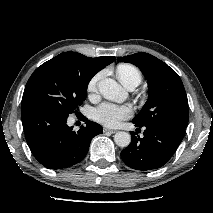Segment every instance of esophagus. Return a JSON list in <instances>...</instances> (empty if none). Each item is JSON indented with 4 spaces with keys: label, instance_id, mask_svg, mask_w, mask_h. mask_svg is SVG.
Masks as SVG:
<instances>
[{
    "label": "esophagus",
    "instance_id": "34e87169",
    "mask_svg": "<svg viewBox=\"0 0 213 213\" xmlns=\"http://www.w3.org/2000/svg\"><path fill=\"white\" fill-rule=\"evenodd\" d=\"M103 131H104V133L109 132V133H112V134H114V133H116V132H117V130L109 129V128H104V129H103Z\"/></svg>",
    "mask_w": 213,
    "mask_h": 213
}]
</instances>
